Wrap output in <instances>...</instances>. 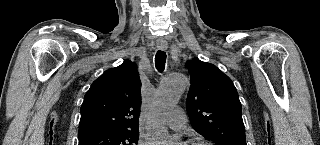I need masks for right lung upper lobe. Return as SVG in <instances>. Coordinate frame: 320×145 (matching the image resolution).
<instances>
[{"label": "right lung upper lobe", "mask_w": 320, "mask_h": 145, "mask_svg": "<svg viewBox=\"0 0 320 145\" xmlns=\"http://www.w3.org/2000/svg\"><path fill=\"white\" fill-rule=\"evenodd\" d=\"M140 86L136 64L129 60L104 72L84 97L79 136L99 131L139 130Z\"/></svg>", "instance_id": "1"}]
</instances>
